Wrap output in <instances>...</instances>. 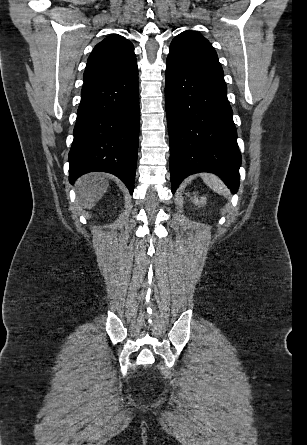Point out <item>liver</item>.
<instances>
[{
    "label": "liver",
    "mask_w": 307,
    "mask_h": 445,
    "mask_svg": "<svg viewBox=\"0 0 307 445\" xmlns=\"http://www.w3.org/2000/svg\"><path fill=\"white\" fill-rule=\"evenodd\" d=\"M78 196L76 198L78 204L82 208H93L96 202L102 198L104 192L109 186L106 180V174L103 172H89L78 178L77 182Z\"/></svg>",
    "instance_id": "6515ba94"
}]
</instances>
